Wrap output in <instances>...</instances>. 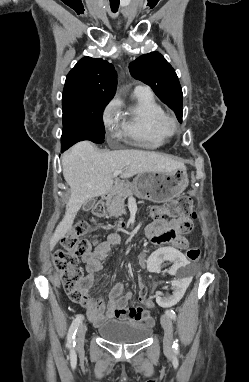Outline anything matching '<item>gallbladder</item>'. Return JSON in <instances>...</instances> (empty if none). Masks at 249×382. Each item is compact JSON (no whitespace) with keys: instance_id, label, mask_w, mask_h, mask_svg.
Wrapping results in <instances>:
<instances>
[{"instance_id":"obj_1","label":"gallbladder","mask_w":249,"mask_h":382,"mask_svg":"<svg viewBox=\"0 0 249 382\" xmlns=\"http://www.w3.org/2000/svg\"><path fill=\"white\" fill-rule=\"evenodd\" d=\"M95 202H96L95 199H89V200H87V201L83 204V206H82V210H83V211H89V210H91V209L94 207Z\"/></svg>"}]
</instances>
